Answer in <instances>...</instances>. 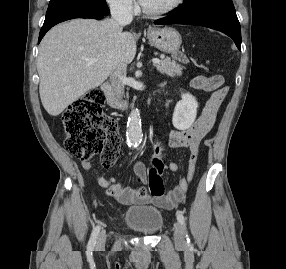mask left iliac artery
Returning a JSON list of instances; mask_svg holds the SVG:
<instances>
[{
  "label": "left iliac artery",
  "mask_w": 286,
  "mask_h": 269,
  "mask_svg": "<svg viewBox=\"0 0 286 269\" xmlns=\"http://www.w3.org/2000/svg\"><path fill=\"white\" fill-rule=\"evenodd\" d=\"M177 219H178V221H179V223L185 228V217H184V215L182 214V212H178L177 213ZM186 239H187V243L189 244V245H191L190 244V239H189V237H188V235H186Z\"/></svg>",
  "instance_id": "44dca946"
}]
</instances>
